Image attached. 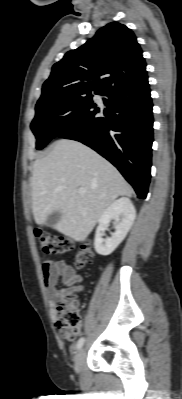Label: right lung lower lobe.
I'll return each instance as SVG.
<instances>
[{
	"instance_id": "1",
	"label": "right lung lower lobe",
	"mask_w": 182,
	"mask_h": 399,
	"mask_svg": "<svg viewBox=\"0 0 182 399\" xmlns=\"http://www.w3.org/2000/svg\"><path fill=\"white\" fill-rule=\"evenodd\" d=\"M103 95L105 117L98 113L84 125L58 137L80 141L109 160L145 199L150 182L153 142L152 100L148 77L115 85Z\"/></svg>"
}]
</instances>
